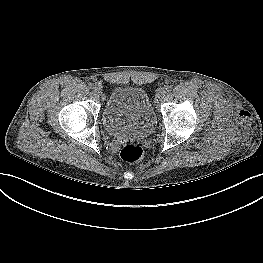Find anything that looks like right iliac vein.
I'll return each mask as SVG.
<instances>
[{
	"instance_id": "right-iliac-vein-1",
	"label": "right iliac vein",
	"mask_w": 263,
	"mask_h": 263,
	"mask_svg": "<svg viewBox=\"0 0 263 263\" xmlns=\"http://www.w3.org/2000/svg\"><path fill=\"white\" fill-rule=\"evenodd\" d=\"M95 90H96V92L99 93V94L102 93V92H101V91H102L101 87H100V88H97V89H95Z\"/></svg>"
}]
</instances>
